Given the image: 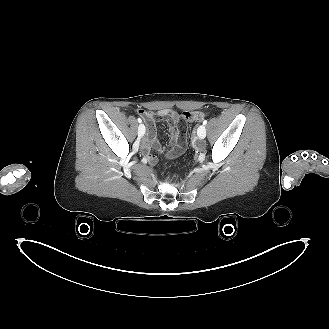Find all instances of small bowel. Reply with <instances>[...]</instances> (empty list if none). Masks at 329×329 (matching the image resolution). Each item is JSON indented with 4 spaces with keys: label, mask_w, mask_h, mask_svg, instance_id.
<instances>
[{
    "label": "small bowel",
    "mask_w": 329,
    "mask_h": 329,
    "mask_svg": "<svg viewBox=\"0 0 329 329\" xmlns=\"http://www.w3.org/2000/svg\"><path fill=\"white\" fill-rule=\"evenodd\" d=\"M137 114L140 115L146 125H147V133L146 136L143 138V146L146 158L151 161L155 162L156 158L151 154L150 149L155 148L160 150L161 149L158 138H157V128L155 125L156 118H162L167 121L169 124V129L171 133V141L173 143V149L168 152L165 156L168 159H174L177 155H179L185 148V141L182 136L181 129L186 127L184 121V113L182 111L177 112L174 109L164 108L157 110L155 112L146 111L142 108H138L136 110Z\"/></svg>",
    "instance_id": "1"
}]
</instances>
